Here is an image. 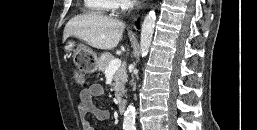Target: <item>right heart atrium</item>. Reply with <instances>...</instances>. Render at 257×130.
I'll return each instance as SVG.
<instances>
[{"mask_svg": "<svg viewBox=\"0 0 257 130\" xmlns=\"http://www.w3.org/2000/svg\"><path fill=\"white\" fill-rule=\"evenodd\" d=\"M133 0H117L118 6L121 8H127L131 5Z\"/></svg>", "mask_w": 257, "mask_h": 130, "instance_id": "obj_1", "label": "right heart atrium"}]
</instances>
